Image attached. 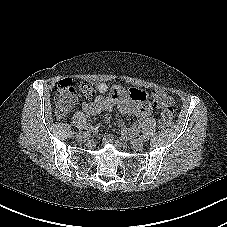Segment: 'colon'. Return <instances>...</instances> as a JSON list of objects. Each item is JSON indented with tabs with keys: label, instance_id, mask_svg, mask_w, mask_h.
<instances>
[{
	"label": "colon",
	"instance_id": "1",
	"mask_svg": "<svg viewBox=\"0 0 227 227\" xmlns=\"http://www.w3.org/2000/svg\"><path fill=\"white\" fill-rule=\"evenodd\" d=\"M79 89L85 98L93 97L98 91V84L91 81L80 83ZM153 104L162 109L159 116V125L169 127L173 121V98L164 90L157 89L152 93ZM77 101L76 89L70 79H63L58 83L55 103V114L59 120H64Z\"/></svg>",
	"mask_w": 227,
	"mask_h": 227
}]
</instances>
